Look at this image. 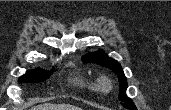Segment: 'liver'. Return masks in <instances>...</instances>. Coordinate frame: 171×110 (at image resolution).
<instances>
[{
  "label": "liver",
  "instance_id": "liver-1",
  "mask_svg": "<svg viewBox=\"0 0 171 110\" xmlns=\"http://www.w3.org/2000/svg\"><path fill=\"white\" fill-rule=\"evenodd\" d=\"M32 110H81L77 106L69 105V104H41L38 106H34Z\"/></svg>",
  "mask_w": 171,
  "mask_h": 110
}]
</instances>
